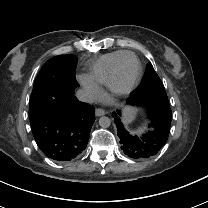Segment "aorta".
<instances>
[{"label":"aorta","instance_id":"1","mask_svg":"<svg viewBox=\"0 0 208 208\" xmlns=\"http://www.w3.org/2000/svg\"><path fill=\"white\" fill-rule=\"evenodd\" d=\"M99 125L102 127V128H108L110 125H111V120L110 118L108 117H101L99 119Z\"/></svg>","mask_w":208,"mask_h":208}]
</instances>
